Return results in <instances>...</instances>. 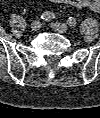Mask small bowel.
<instances>
[{
	"label": "small bowel",
	"instance_id": "1",
	"mask_svg": "<svg viewBox=\"0 0 100 118\" xmlns=\"http://www.w3.org/2000/svg\"><path fill=\"white\" fill-rule=\"evenodd\" d=\"M53 3L68 4L78 9L88 8L93 12H100V0H49Z\"/></svg>",
	"mask_w": 100,
	"mask_h": 118
}]
</instances>
